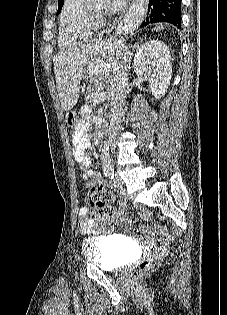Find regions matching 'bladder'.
<instances>
[{"instance_id": "31cf9c89", "label": "bladder", "mask_w": 227, "mask_h": 315, "mask_svg": "<svg viewBox=\"0 0 227 315\" xmlns=\"http://www.w3.org/2000/svg\"><path fill=\"white\" fill-rule=\"evenodd\" d=\"M84 259L102 270L122 267L129 247L116 237H89L82 243Z\"/></svg>"}]
</instances>
